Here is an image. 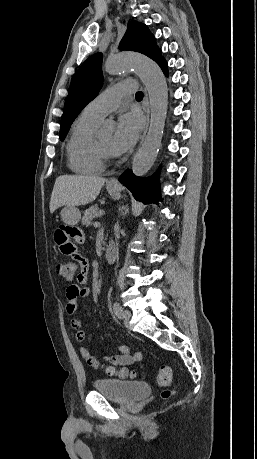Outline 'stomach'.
Here are the masks:
<instances>
[{"label":"stomach","mask_w":257,"mask_h":459,"mask_svg":"<svg viewBox=\"0 0 257 459\" xmlns=\"http://www.w3.org/2000/svg\"><path fill=\"white\" fill-rule=\"evenodd\" d=\"M107 191L114 199L120 198V191L118 188L108 186ZM61 217L64 223H73L76 225L81 219V212L75 206H65L61 210Z\"/></svg>","instance_id":"1"}]
</instances>
